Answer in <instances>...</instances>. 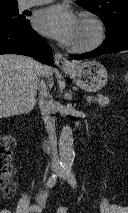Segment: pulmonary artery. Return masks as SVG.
I'll return each mask as SVG.
<instances>
[{
  "instance_id": "pulmonary-artery-1",
  "label": "pulmonary artery",
  "mask_w": 128,
  "mask_h": 213,
  "mask_svg": "<svg viewBox=\"0 0 128 213\" xmlns=\"http://www.w3.org/2000/svg\"><path fill=\"white\" fill-rule=\"evenodd\" d=\"M51 1L53 0H21V7L30 8L32 6H38V5L49 3Z\"/></svg>"
}]
</instances>
